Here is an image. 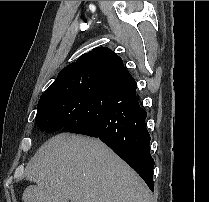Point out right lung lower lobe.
<instances>
[{"label":"right lung lower lobe","mask_w":209,"mask_h":202,"mask_svg":"<svg viewBox=\"0 0 209 202\" xmlns=\"http://www.w3.org/2000/svg\"><path fill=\"white\" fill-rule=\"evenodd\" d=\"M136 88L124 67L92 77L83 89L77 111L65 121L63 129L99 138L154 191L147 113L139 105Z\"/></svg>","instance_id":"obj_1"}]
</instances>
